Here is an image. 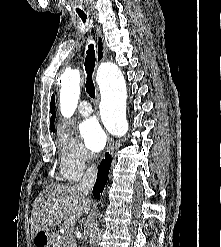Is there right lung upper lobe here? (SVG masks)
Returning <instances> with one entry per match:
<instances>
[{
    "label": "right lung upper lobe",
    "mask_w": 221,
    "mask_h": 247,
    "mask_svg": "<svg viewBox=\"0 0 221 247\" xmlns=\"http://www.w3.org/2000/svg\"><path fill=\"white\" fill-rule=\"evenodd\" d=\"M50 112L52 114L51 118H50V129L51 131H54V121H55V96L52 95L51 98V103H50Z\"/></svg>",
    "instance_id": "cb5924a9"
}]
</instances>
